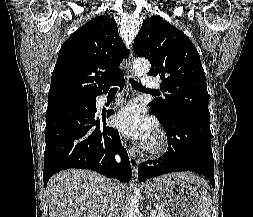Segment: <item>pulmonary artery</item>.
I'll list each match as a JSON object with an SVG mask.
<instances>
[{
    "instance_id": "e3ab8cb5",
    "label": "pulmonary artery",
    "mask_w": 253,
    "mask_h": 217,
    "mask_svg": "<svg viewBox=\"0 0 253 217\" xmlns=\"http://www.w3.org/2000/svg\"><path fill=\"white\" fill-rule=\"evenodd\" d=\"M143 85L145 88L149 89V90H154L157 89L159 87V84L156 80H153L150 77H144L143 78Z\"/></svg>"
}]
</instances>
